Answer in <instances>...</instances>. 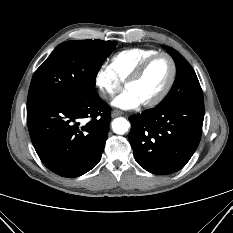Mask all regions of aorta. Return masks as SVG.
<instances>
[{
    "instance_id": "1",
    "label": "aorta",
    "mask_w": 233,
    "mask_h": 233,
    "mask_svg": "<svg viewBox=\"0 0 233 233\" xmlns=\"http://www.w3.org/2000/svg\"><path fill=\"white\" fill-rule=\"evenodd\" d=\"M129 127V122L123 117L116 118L112 122V129L116 134H125Z\"/></svg>"
}]
</instances>
